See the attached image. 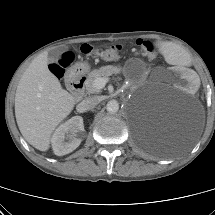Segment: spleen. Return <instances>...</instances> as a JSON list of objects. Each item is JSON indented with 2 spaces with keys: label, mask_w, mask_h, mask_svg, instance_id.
Here are the masks:
<instances>
[{
  "label": "spleen",
  "mask_w": 215,
  "mask_h": 215,
  "mask_svg": "<svg viewBox=\"0 0 215 215\" xmlns=\"http://www.w3.org/2000/svg\"><path fill=\"white\" fill-rule=\"evenodd\" d=\"M163 54L166 61L170 64H181L188 66L192 62V57L187 53V50L183 46L175 47L171 43H162Z\"/></svg>",
  "instance_id": "3e777b00"
}]
</instances>
